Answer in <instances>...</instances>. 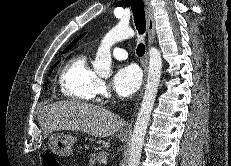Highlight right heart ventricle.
<instances>
[{"label":"right heart ventricle","mask_w":231,"mask_h":166,"mask_svg":"<svg viewBox=\"0 0 231 166\" xmlns=\"http://www.w3.org/2000/svg\"><path fill=\"white\" fill-rule=\"evenodd\" d=\"M97 76L88 63L86 52L73 55L62 67L59 75L61 93L69 99L90 101L96 95Z\"/></svg>","instance_id":"e07e8e85"}]
</instances>
